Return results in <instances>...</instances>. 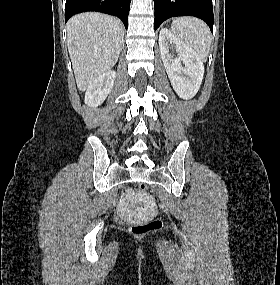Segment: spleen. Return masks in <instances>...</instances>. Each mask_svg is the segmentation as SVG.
I'll use <instances>...</instances> for the list:
<instances>
[{
	"label": "spleen",
	"mask_w": 280,
	"mask_h": 285,
	"mask_svg": "<svg viewBox=\"0 0 280 285\" xmlns=\"http://www.w3.org/2000/svg\"><path fill=\"white\" fill-rule=\"evenodd\" d=\"M171 29L176 37L194 49L203 61L207 60L211 35L203 21L193 17H180L173 20Z\"/></svg>",
	"instance_id": "obj_1"
}]
</instances>
